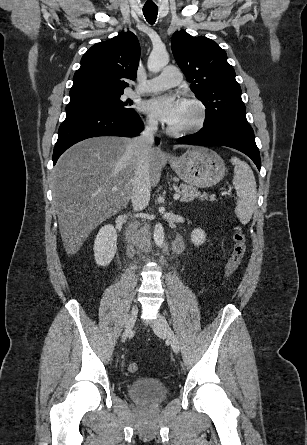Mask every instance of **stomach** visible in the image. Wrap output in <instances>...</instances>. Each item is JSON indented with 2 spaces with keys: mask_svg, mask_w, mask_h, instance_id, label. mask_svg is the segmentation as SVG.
<instances>
[{
  "mask_svg": "<svg viewBox=\"0 0 307 445\" xmlns=\"http://www.w3.org/2000/svg\"><path fill=\"white\" fill-rule=\"evenodd\" d=\"M169 162L186 184L200 188L220 182L226 170L223 158L206 146H192L185 154Z\"/></svg>",
  "mask_w": 307,
  "mask_h": 445,
  "instance_id": "0dacf381",
  "label": "stomach"
}]
</instances>
